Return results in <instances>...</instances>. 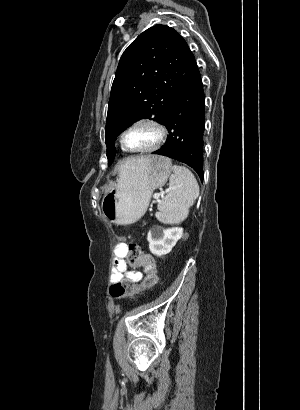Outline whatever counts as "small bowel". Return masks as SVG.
Wrapping results in <instances>:
<instances>
[{
	"mask_svg": "<svg viewBox=\"0 0 300 410\" xmlns=\"http://www.w3.org/2000/svg\"><path fill=\"white\" fill-rule=\"evenodd\" d=\"M137 265L130 264L127 261L126 245L120 243L115 248V257L113 260V272L111 280L113 282L120 279H128L132 282H138L142 279L143 273L135 270Z\"/></svg>",
	"mask_w": 300,
	"mask_h": 410,
	"instance_id": "1",
	"label": "small bowel"
}]
</instances>
